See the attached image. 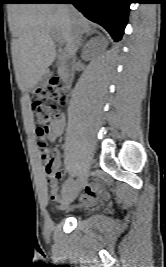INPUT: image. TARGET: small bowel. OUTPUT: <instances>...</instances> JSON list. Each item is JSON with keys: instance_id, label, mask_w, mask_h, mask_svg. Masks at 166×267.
Instances as JSON below:
<instances>
[{"instance_id": "1", "label": "small bowel", "mask_w": 166, "mask_h": 267, "mask_svg": "<svg viewBox=\"0 0 166 267\" xmlns=\"http://www.w3.org/2000/svg\"><path fill=\"white\" fill-rule=\"evenodd\" d=\"M65 119L61 117L58 121L52 123L49 128L48 136L51 142H55L64 132ZM53 165L56 170V174L48 178L50 187V198L55 201L60 200L59 196V179L62 177L60 168V157L58 153L53 156ZM104 195V185L101 182H94L85 186V192L80 196V204L88 205L95 202L98 198Z\"/></svg>"}]
</instances>
